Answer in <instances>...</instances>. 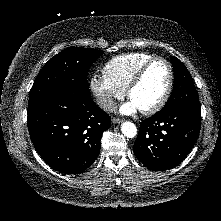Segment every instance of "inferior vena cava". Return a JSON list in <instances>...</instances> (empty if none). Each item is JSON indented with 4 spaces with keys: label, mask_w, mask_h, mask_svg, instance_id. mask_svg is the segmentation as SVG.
Returning a JSON list of instances; mask_svg holds the SVG:
<instances>
[{
    "label": "inferior vena cava",
    "mask_w": 221,
    "mask_h": 221,
    "mask_svg": "<svg viewBox=\"0 0 221 221\" xmlns=\"http://www.w3.org/2000/svg\"><path fill=\"white\" fill-rule=\"evenodd\" d=\"M97 104L100 108H102L105 111H115L117 106L114 102L113 98L107 97V96H101L97 98Z\"/></svg>",
    "instance_id": "602c4592"
}]
</instances>
